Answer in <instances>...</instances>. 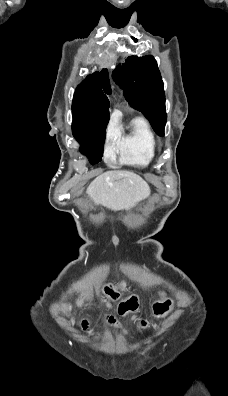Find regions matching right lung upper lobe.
Wrapping results in <instances>:
<instances>
[{
	"instance_id": "cb5924a9",
	"label": "right lung upper lobe",
	"mask_w": 228,
	"mask_h": 396,
	"mask_svg": "<svg viewBox=\"0 0 228 396\" xmlns=\"http://www.w3.org/2000/svg\"><path fill=\"white\" fill-rule=\"evenodd\" d=\"M111 93L107 69L94 72L77 87L72 113L77 117H93L109 112V100L104 94Z\"/></svg>"
}]
</instances>
